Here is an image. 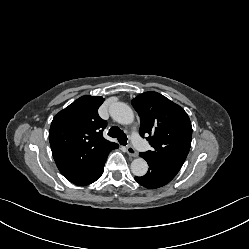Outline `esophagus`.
Instances as JSON below:
<instances>
[{"label": "esophagus", "mask_w": 249, "mask_h": 249, "mask_svg": "<svg viewBox=\"0 0 249 249\" xmlns=\"http://www.w3.org/2000/svg\"><path fill=\"white\" fill-rule=\"evenodd\" d=\"M126 152L131 157H137L138 153L132 145H128L126 148Z\"/></svg>", "instance_id": "obj_1"}]
</instances>
